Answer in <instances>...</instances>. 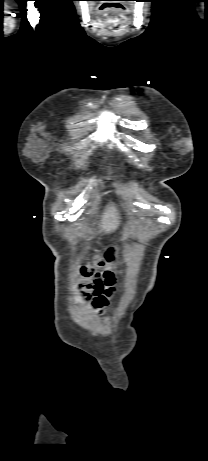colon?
Masks as SVG:
<instances>
[{
    "label": "colon",
    "instance_id": "5ec220e1",
    "mask_svg": "<svg viewBox=\"0 0 208 461\" xmlns=\"http://www.w3.org/2000/svg\"><path fill=\"white\" fill-rule=\"evenodd\" d=\"M107 261L111 263L113 261V249L109 250L107 255ZM104 266V263L97 262L94 265H89L83 268L82 274L85 279L89 280L79 285L78 289L83 296H98L103 290L104 281L113 279V272L110 270H104L100 272V268ZM103 278V280L101 279Z\"/></svg>",
    "mask_w": 208,
    "mask_h": 461
}]
</instances>
